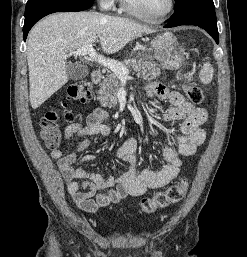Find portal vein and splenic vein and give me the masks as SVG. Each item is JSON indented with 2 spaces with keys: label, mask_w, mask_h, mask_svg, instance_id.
Listing matches in <instances>:
<instances>
[{
  "label": "portal vein and splenic vein",
  "mask_w": 247,
  "mask_h": 257,
  "mask_svg": "<svg viewBox=\"0 0 247 257\" xmlns=\"http://www.w3.org/2000/svg\"><path fill=\"white\" fill-rule=\"evenodd\" d=\"M69 55L70 56L71 55H75V56L89 55L91 57V59L98 62L100 65H102L106 68H109L113 73H115V75L119 79L126 81L129 78V71L122 63L115 61V60L106 59L104 57H101L93 49L92 44H88L76 51H70Z\"/></svg>",
  "instance_id": "18ae733b"
}]
</instances>
